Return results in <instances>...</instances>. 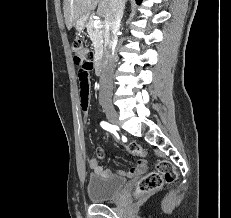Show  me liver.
I'll return each instance as SVG.
<instances>
[{
	"mask_svg": "<svg viewBox=\"0 0 231 218\" xmlns=\"http://www.w3.org/2000/svg\"><path fill=\"white\" fill-rule=\"evenodd\" d=\"M111 0H64L63 11L68 30L81 17H88L98 5L97 14L105 17L110 10Z\"/></svg>",
	"mask_w": 231,
	"mask_h": 218,
	"instance_id": "1",
	"label": "liver"
}]
</instances>
